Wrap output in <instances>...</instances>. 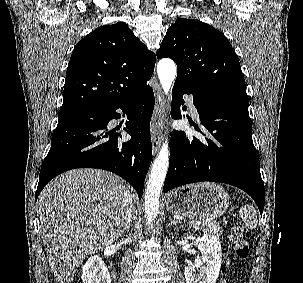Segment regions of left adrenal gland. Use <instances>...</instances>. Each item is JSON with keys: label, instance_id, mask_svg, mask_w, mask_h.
Here are the masks:
<instances>
[{"label": "left adrenal gland", "instance_id": "obj_1", "mask_svg": "<svg viewBox=\"0 0 303 283\" xmlns=\"http://www.w3.org/2000/svg\"><path fill=\"white\" fill-rule=\"evenodd\" d=\"M177 223H178V221H177L176 219L172 218V219H171V224H170V225H171V226H172V225H176Z\"/></svg>", "mask_w": 303, "mask_h": 283}]
</instances>
